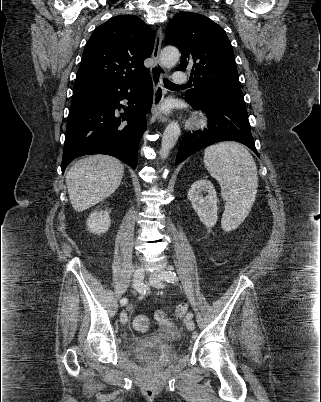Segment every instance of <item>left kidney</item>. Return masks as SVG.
Segmentation results:
<instances>
[{"mask_svg":"<svg viewBox=\"0 0 321 402\" xmlns=\"http://www.w3.org/2000/svg\"><path fill=\"white\" fill-rule=\"evenodd\" d=\"M202 193H207V196L203 197ZM187 197L191 202L193 209L199 216L200 221L207 227H213L218 218V200L216 190L212 183L207 179H199L195 181L191 185ZM243 220L241 222H243Z\"/></svg>","mask_w":321,"mask_h":402,"instance_id":"5707ae66","label":"left kidney"}]
</instances>
